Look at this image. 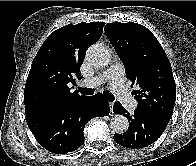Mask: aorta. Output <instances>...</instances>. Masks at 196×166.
Wrapping results in <instances>:
<instances>
[{
  "label": "aorta",
  "instance_id": "1",
  "mask_svg": "<svg viewBox=\"0 0 196 166\" xmlns=\"http://www.w3.org/2000/svg\"><path fill=\"white\" fill-rule=\"evenodd\" d=\"M86 57L93 65L105 67L111 61V51L102 44H93L87 50ZM110 126L116 133L122 134L127 131L129 122L125 116L117 114L111 119Z\"/></svg>",
  "mask_w": 196,
  "mask_h": 166
}]
</instances>
